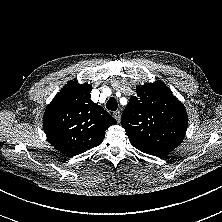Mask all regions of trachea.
<instances>
[{
    "label": "trachea",
    "mask_w": 222,
    "mask_h": 222,
    "mask_svg": "<svg viewBox=\"0 0 222 222\" xmlns=\"http://www.w3.org/2000/svg\"><path fill=\"white\" fill-rule=\"evenodd\" d=\"M106 108L109 110V111H116L117 108H118V104H117V101L114 97H111L107 103H106Z\"/></svg>",
    "instance_id": "1"
}]
</instances>
